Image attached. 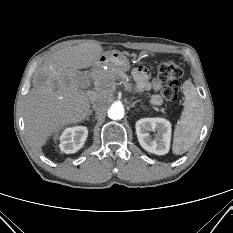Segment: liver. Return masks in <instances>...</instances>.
I'll list each match as a JSON object with an SVG mask.
<instances>
[{
  "instance_id": "6515ba94",
  "label": "liver",
  "mask_w": 233,
  "mask_h": 233,
  "mask_svg": "<svg viewBox=\"0 0 233 233\" xmlns=\"http://www.w3.org/2000/svg\"><path fill=\"white\" fill-rule=\"evenodd\" d=\"M101 52L102 46L95 41L66 46L47 56L36 70L34 88L24 105L25 132L35 148L40 149L65 126L87 117L90 100L79 87L76 72L96 64Z\"/></svg>"
}]
</instances>
